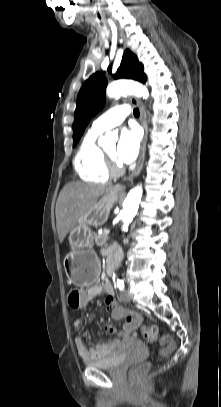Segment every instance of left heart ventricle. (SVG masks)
I'll return each mask as SVG.
<instances>
[{"mask_svg":"<svg viewBox=\"0 0 221 407\" xmlns=\"http://www.w3.org/2000/svg\"><path fill=\"white\" fill-rule=\"evenodd\" d=\"M106 154L115 160L116 158V147L111 146L106 150Z\"/></svg>","mask_w":221,"mask_h":407,"instance_id":"b2bd125f","label":"left heart ventricle"}]
</instances>
